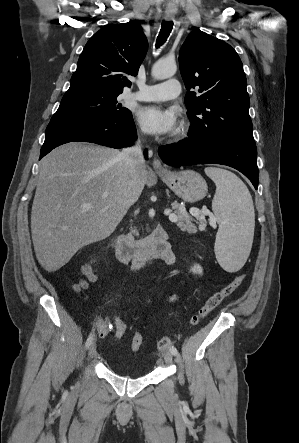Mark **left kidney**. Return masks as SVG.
Returning a JSON list of instances; mask_svg holds the SVG:
<instances>
[{
    "label": "left kidney",
    "mask_w": 299,
    "mask_h": 443,
    "mask_svg": "<svg viewBox=\"0 0 299 443\" xmlns=\"http://www.w3.org/2000/svg\"><path fill=\"white\" fill-rule=\"evenodd\" d=\"M191 271H192L194 274H199V275H202V272H203L202 267H201L200 265H198V264H195V265L191 268Z\"/></svg>",
    "instance_id": "left-kidney-1"
}]
</instances>
